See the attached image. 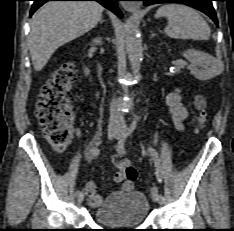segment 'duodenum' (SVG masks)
Here are the masks:
<instances>
[{
  "instance_id": "1",
  "label": "duodenum",
  "mask_w": 234,
  "mask_h": 231,
  "mask_svg": "<svg viewBox=\"0 0 234 231\" xmlns=\"http://www.w3.org/2000/svg\"><path fill=\"white\" fill-rule=\"evenodd\" d=\"M86 75H87L88 77H90V72H89L88 69H86Z\"/></svg>"
}]
</instances>
